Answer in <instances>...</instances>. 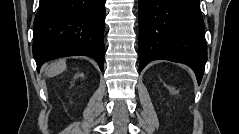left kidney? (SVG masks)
Here are the masks:
<instances>
[{
    "instance_id": "5707ae66",
    "label": "left kidney",
    "mask_w": 239,
    "mask_h": 134,
    "mask_svg": "<svg viewBox=\"0 0 239 134\" xmlns=\"http://www.w3.org/2000/svg\"><path fill=\"white\" fill-rule=\"evenodd\" d=\"M170 93L175 94L176 90L173 87H168Z\"/></svg>"
}]
</instances>
